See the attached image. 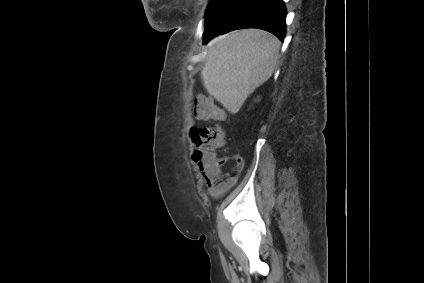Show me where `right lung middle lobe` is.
Listing matches in <instances>:
<instances>
[{"instance_id":"obj_1","label":"right lung middle lobe","mask_w":424,"mask_h":283,"mask_svg":"<svg viewBox=\"0 0 424 283\" xmlns=\"http://www.w3.org/2000/svg\"><path fill=\"white\" fill-rule=\"evenodd\" d=\"M228 0H212L205 16V26L220 12Z\"/></svg>"}]
</instances>
